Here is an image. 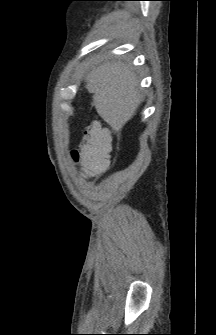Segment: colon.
I'll return each instance as SVG.
<instances>
[{
  "mask_svg": "<svg viewBox=\"0 0 216 335\" xmlns=\"http://www.w3.org/2000/svg\"><path fill=\"white\" fill-rule=\"evenodd\" d=\"M110 150L107 130L98 122L88 126L80 146L71 152L74 161H81L78 170L80 177L98 178L99 172H110Z\"/></svg>",
  "mask_w": 216,
  "mask_h": 335,
  "instance_id": "colon-1",
  "label": "colon"
}]
</instances>
